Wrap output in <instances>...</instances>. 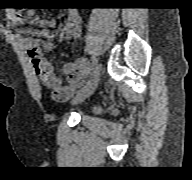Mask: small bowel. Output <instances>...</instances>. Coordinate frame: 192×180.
<instances>
[{
	"label": "small bowel",
	"instance_id": "c3829d8e",
	"mask_svg": "<svg viewBox=\"0 0 192 180\" xmlns=\"http://www.w3.org/2000/svg\"><path fill=\"white\" fill-rule=\"evenodd\" d=\"M33 10H18L13 14L12 23L21 25L25 17H33ZM54 19L47 22H37L38 27L27 31L23 45L28 52L33 69L43 85L51 91L57 101L68 100L75 91L83 85L89 71V63L85 58L63 64V72L67 76L63 83L54 73L52 64L44 57L42 50L51 51L54 48L50 27L54 26ZM82 33V17L77 10H70L61 35L68 39H77Z\"/></svg>",
	"mask_w": 192,
	"mask_h": 180
}]
</instances>
